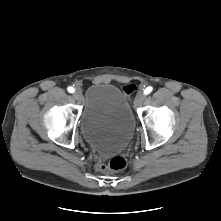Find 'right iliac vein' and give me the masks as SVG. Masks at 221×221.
<instances>
[{"label":"right iliac vein","instance_id":"63e3f726","mask_svg":"<svg viewBox=\"0 0 221 221\" xmlns=\"http://www.w3.org/2000/svg\"><path fill=\"white\" fill-rule=\"evenodd\" d=\"M73 97L77 100V101H82L83 99V95L82 92L80 90H76L73 94Z\"/></svg>","mask_w":221,"mask_h":221}]
</instances>
